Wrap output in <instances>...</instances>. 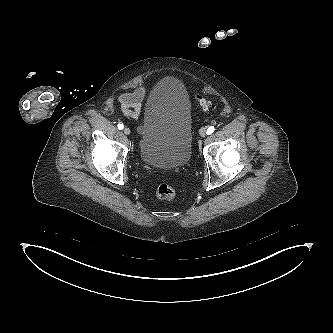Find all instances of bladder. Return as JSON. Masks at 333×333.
<instances>
[{
  "mask_svg": "<svg viewBox=\"0 0 333 333\" xmlns=\"http://www.w3.org/2000/svg\"><path fill=\"white\" fill-rule=\"evenodd\" d=\"M139 152L152 167L185 166L192 154L191 103L182 81L168 76L148 95L140 126Z\"/></svg>",
  "mask_w": 333,
  "mask_h": 333,
  "instance_id": "bladder-1",
  "label": "bladder"
}]
</instances>
